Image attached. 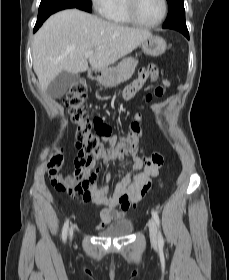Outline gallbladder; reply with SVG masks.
I'll return each mask as SVG.
<instances>
[{
  "label": "gallbladder",
  "mask_w": 229,
  "mask_h": 280,
  "mask_svg": "<svg viewBox=\"0 0 229 280\" xmlns=\"http://www.w3.org/2000/svg\"><path fill=\"white\" fill-rule=\"evenodd\" d=\"M79 75L77 73L61 72L48 86V94L53 98H61Z\"/></svg>",
  "instance_id": "bac80fb5"
}]
</instances>
